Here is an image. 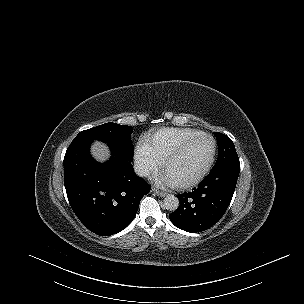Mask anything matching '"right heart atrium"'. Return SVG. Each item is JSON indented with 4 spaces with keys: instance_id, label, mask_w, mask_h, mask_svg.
<instances>
[{
    "instance_id": "1",
    "label": "right heart atrium",
    "mask_w": 304,
    "mask_h": 304,
    "mask_svg": "<svg viewBox=\"0 0 304 304\" xmlns=\"http://www.w3.org/2000/svg\"><path fill=\"white\" fill-rule=\"evenodd\" d=\"M134 161L139 173L149 176L161 166L160 158L153 152L147 143L139 142L134 152Z\"/></svg>"
}]
</instances>
